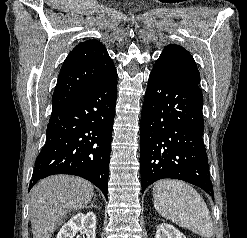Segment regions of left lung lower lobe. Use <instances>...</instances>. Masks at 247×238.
I'll use <instances>...</instances> for the list:
<instances>
[{
  "instance_id": "1",
  "label": "left lung lower lobe",
  "mask_w": 247,
  "mask_h": 238,
  "mask_svg": "<svg viewBox=\"0 0 247 238\" xmlns=\"http://www.w3.org/2000/svg\"><path fill=\"white\" fill-rule=\"evenodd\" d=\"M203 95L199 84L156 61L141 115L142 193L159 179H179L213 196L203 142Z\"/></svg>"
}]
</instances>
